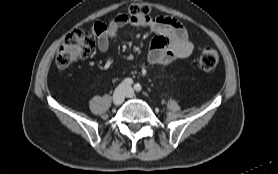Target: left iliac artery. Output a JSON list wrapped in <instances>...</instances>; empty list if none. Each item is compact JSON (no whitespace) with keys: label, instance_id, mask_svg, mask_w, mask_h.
Returning a JSON list of instances; mask_svg holds the SVG:
<instances>
[{"label":"left iliac artery","instance_id":"44dca946","mask_svg":"<svg viewBox=\"0 0 278 174\" xmlns=\"http://www.w3.org/2000/svg\"><path fill=\"white\" fill-rule=\"evenodd\" d=\"M134 89H135L137 92H139V91H141L142 87H141L140 84H135V85H134Z\"/></svg>","mask_w":278,"mask_h":174}]
</instances>
